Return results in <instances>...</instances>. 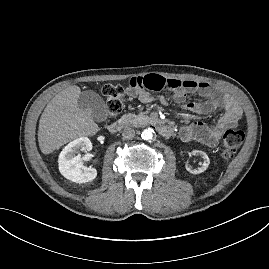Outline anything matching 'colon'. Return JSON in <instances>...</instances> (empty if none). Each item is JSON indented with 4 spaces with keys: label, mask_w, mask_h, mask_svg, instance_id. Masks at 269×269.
Listing matches in <instances>:
<instances>
[{
    "label": "colon",
    "mask_w": 269,
    "mask_h": 269,
    "mask_svg": "<svg viewBox=\"0 0 269 269\" xmlns=\"http://www.w3.org/2000/svg\"><path fill=\"white\" fill-rule=\"evenodd\" d=\"M106 100L107 109L111 116L118 115L123 109L124 88L118 84H106L102 88ZM244 132L241 130L229 129L223 135L222 157L229 160L242 145Z\"/></svg>",
    "instance_id": "obj_1"
}]
</instances>
